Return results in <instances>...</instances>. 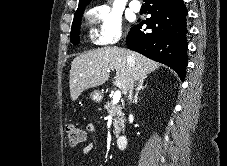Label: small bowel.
Segmentation results:
<instances>
[{
  "label": "small bowel",
  "instance_id": "small-bowel-1",
  "mask_svg": "<svg viewBox=\"0 0 227 166\" xmlns=\"http://www.w3.org/2000/svg\"><path fill=\"white\" fill-rule=\"evenodd\" d=\"M86 131H87V133H94L96 131V128L93 124H88L86 127ZM93 149H94V144L89 143L88 145H86L84 147L82 154L86 155V154L90 153Z\"/></svg>",
  "mask_w": 227,
  "mask_h": 166
}]
</instances>
